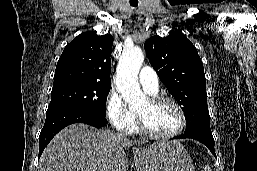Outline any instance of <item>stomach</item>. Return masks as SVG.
Returning a JSON list of instances; mask_svg holds the SVG:
<instances>
[{
    "label": "stomach",
    "instance_id": "0dacf381",
    "mask_svg": "<svg viewBox=\"0 0 257 171\" xmlns=\"http://www.w3.org/2000/svg\"><path fill=\"white\" fill-rule=\"evenodd\" d=\"M137 171H195L188 152L178 141H158L134 151Z\"/></svg>",
    "mask_w": 257,
    "mask_h": 171
}]
</instances>
